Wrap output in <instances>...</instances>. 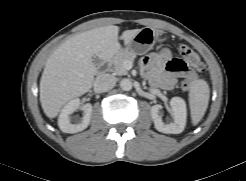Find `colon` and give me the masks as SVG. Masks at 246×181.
Masks as SVG:
<instances>
[{
  "mask_svg": "<svg viewBox=\"0 0 246 181\" xmlns=\"http://www.w3.org/2000/svg\"><path fill=\"white\" fill-rule=\"evenodd\" d=\"M178 51L181 57L184 59V62L188 69V74L182 82V88L185 91H188L193 81L196 79L197 72L203 71L205 66L200 56L196 52H194L189 46L180 45Z\"/></svg>",
  "mask_w": 246,
  "mask_h": 181,
  "instance_id": "colon-1",
  "label": "colon"
}]
</instances>
